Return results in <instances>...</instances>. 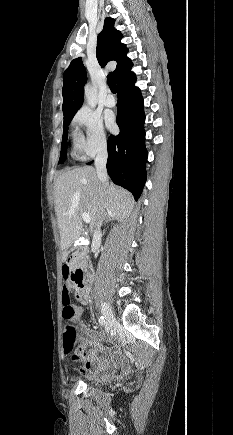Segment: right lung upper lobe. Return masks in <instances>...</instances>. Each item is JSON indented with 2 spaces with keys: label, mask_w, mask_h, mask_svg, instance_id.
<instances>
[{
  "label": "right lung upper lobe",
  "mask_w": 233,
  "mask_h": 435,
  "mask_svg": "<svg viewBox=\"0 0 233 435\" xmlns=\"http://www.w3.org/2000/svg\"><path fill=\"white\" fill-rule=\"evenodd\" d=\"M115 20L106 18L102 32L97 38L96 57L104 67L109 61L115 60L117 67L114 71L117 82L131 75L133 66L126 56L128 49L121 43L122 34L114 28ZM63 114L64 117L75 115L84 99L83 87L87 80L86 69L81 57L74 59L63 74Z\"/></svg>",
  "instance_id": "cb5924a9"
}]
</instances>
